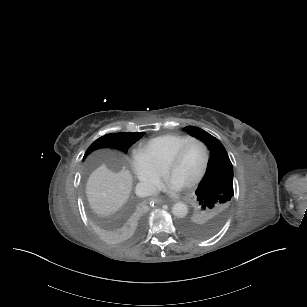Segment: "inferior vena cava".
I'll return each mask as SVG.
<instances>
[{
	"mask_svg": "<svg viewBox=\"0 0 307 307\" xmlns=\"http://www.w3.org/2000/svg\"><path fill=\"white\" fill-rule=\"evenodd\" d=\"M156 191V187L150 183L140 182L136 185V195L139 197L152 196Z\"/></svg>",
	"mask_w": 307,
	"mask_h": 307,
	"instance_id": "obj_1",
	"label": "inferior vena cava"
}]
</instances>
